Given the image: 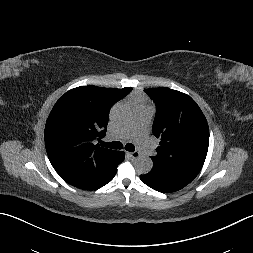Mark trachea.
<instances>
[{"instance_id": "trachea-1", "label": "trachea", "mask_w": 253, "mask_h": 253, "mask_svg": "<svg viewBox=\"0 0 253 253\" xmlns=\"http://www.w3.org/2000/svg\"><path fill=\"white\" fill-rule=\"evenodd\" d=\"M101 145L103 147H108V148H111V149H122L123 148V145L121 142H118V141H115V142H101ZM125 149L129 152H134L135 150V147L133 144L131 143H127L125 145Z\"/></svg>"}]
</instances>
